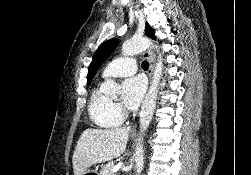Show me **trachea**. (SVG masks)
Returning a JSON list of instances; mask_svg holds the SVG:
<instances>
[{"label":"trachea","instance_id":"1","mask_svg":"<svg viewBox=\"0 0 251 175\" xmlns=\"http://www.w3.org/2000/svg\"><path fill=\"white\" fill-rule=\"evenodd\" d=\"M148 67H149L148 62H146V61L142 62V68H143L144 70H147Z\"/></svg>","mask_w":251,"mask_h":175}]
</instances>
